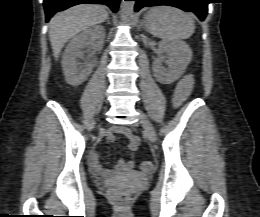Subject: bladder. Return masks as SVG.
<instances>
[{
	"label": "bladder",
	"mask_w": 260,
	"mask_h": 217,
	"mask_svg": "<svg viewBox=\"0 0 260 217\" xmlns=\"http://www.w3.org/2000/svg\"><path fill=\"white\" fill-rule=\"evenodd\" d=\"M129 176L132 177V178H138V179H144L146 177V176L139 174L137 172H131L129 174Z\"/></svg>",
	"instance_id": "obj_1"
}]
</instances>
